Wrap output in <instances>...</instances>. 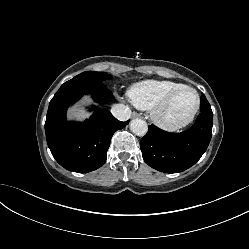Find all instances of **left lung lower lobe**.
I'll list each match as a JSON object with an SVG mask.
<instances>
[{
  "instance_id": "1",
  "label": "left lung lower lobe",
  "mask_w": 249,
  "mask_h": 249,
  "mask_svg": "<svg viewBox=\"0 0 249 249\" xmlns=\"http://www.w3.org/2000/svg\"><path fill=\"white\" fill-rule=\"evenodd\" d=\"M201 95V106L207 104ZM213 113L201 111L194 125L181 133H169L150 125L140 141L144 161L164 173H178L193 166L206 151L212 136Z\"/></svg>"
}]
</instances>
